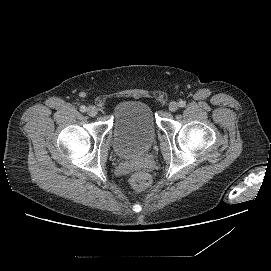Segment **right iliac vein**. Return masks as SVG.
I'll list each match as a JSON object with an SVG mask.
<instances>
[{
	"label": "right iliac vein",
	"mask_w": 271,
	"mask_h": 271,
	"mask_svg": "<svg viewBox=\"0 0 271 271\" xmlns=\"http://www.w3.org/2000/svg\"><path fill=\"white\" fill-rule=\"evenodd\" d=\"M97 113H98V110H97V108H96L95 106H89V107H88V109H87V114H88L89 116L94 117V116L97 115Z\"/></svg>",
	"instance_id": "1"
}]
</instances>
